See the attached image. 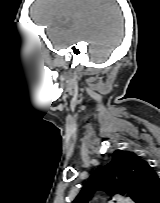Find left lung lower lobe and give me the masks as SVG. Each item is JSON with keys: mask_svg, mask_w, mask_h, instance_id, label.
I'll list each match as a JSON object with an SVG mask.
<instances>
[{"mask_svg": "<svg viewBox=\"0 0 160 203\" xmlns=\"http://www.w3.org/2000/svg\"><path fill=\"white\" fill-rule=\"evenodd\" d=\"M149 203H160V178L154 188Z\"/></svg>", "mask_w": 160, "mask_h": 203, "instance_id": "0a47b994", "label": "left lung lower lobe"}]
</instances>
